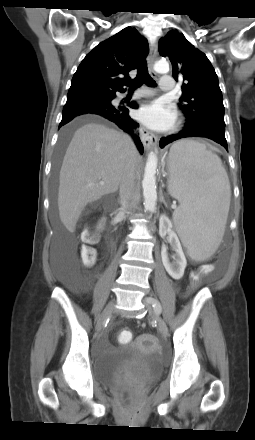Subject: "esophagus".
<instances>
[{"instance_id":"esophagus-1","label":"esophagus","mask_w":255,"mask_h":440,"mask_svg":"<svg viewBox=\"0 0 255 440\" xmlns=\"http://www.w3.org/2000/svg\"><path fill=\"white\" fill-rule=\"evenodd\" d=\"M157 56V43H153L150 46L149 55L147 57V63L149 71L154 74L153 65L155 62ZM140 136L141 141L146 149H150L152 146H154L157 143V136L154 135L152 132L146 130L145 128H140Z\"/></svg>"}]
</instances>
